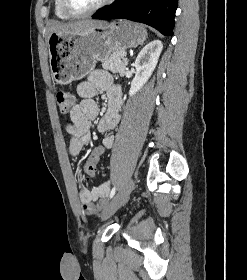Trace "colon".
<instances>
[{"label":"colon","mask_w":247,"mask_h":280,"mask_svg":"<svg viewBox=\"0 0 247 280\" xmlns=\"http://www.w3.org/2000/svg\"><path fill=\"white\" fill-rule=\"evenodd\" d=\"M56 101L61 113H68L74 104V96L68 91H59L56 94ZM106 150L103 144H97L85 164L84 170L87 176L92 177L95 175V165L99 162L100 157L104 156Z\"/></svg>","instance_id":"colon-1"}]
</instances>
